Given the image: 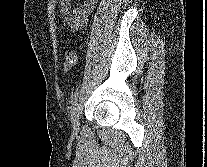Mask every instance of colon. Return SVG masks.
<instances>
[{
  "instance_id": "colon-1",
  "label": "colon",
  "mask_w": 207,
  "mask_h": 167,
  "mask_svg": "<svg viewBox=\"0 0 207 167\" xmlns=\"http://www.w3.org/2000/svg\"><path fill=\"white\" fill-rule=\"evenodd\" d=\"M78 57L74 50H69L65 54V59L63 62V68L65 72H69L77 64Z\"/></svg>"
}]
</instances>
